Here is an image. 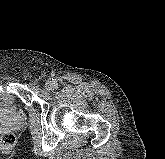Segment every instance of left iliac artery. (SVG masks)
I'll return each mask as SVG.
<instances>
[{
    "label": "left iliac artery",
    "mask_w": 165,
    "mask_h": 159,
    "mask_svg": "<svg viewBox=\"0 0 165 159\" xmlns=\"http://www.w3.org/2000/svg\"><path fill=\"white\" fill-rule=\"evenodd\" d=\"M54 88L57 89L58 88V84L54 83Z\"/></svg>",
    "instance_id": "obj_1"
}]
</instances>
